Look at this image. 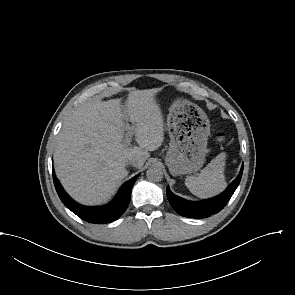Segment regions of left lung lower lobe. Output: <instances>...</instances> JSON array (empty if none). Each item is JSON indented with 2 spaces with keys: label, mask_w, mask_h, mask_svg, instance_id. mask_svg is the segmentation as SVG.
<instances>
[{
  "label": "left lung lower lobe",
  "mask_w": 295,
  "mask_h": 295,
  "mask_svg": "<svg viewBox=\"0 0 295 295\" xmlns=\"http://www.w3.org/2000/svg\"><path fill=\"white\" fill-rule=\"evenodd\" d=\"M243 173V164L237 178L220 195L202 201H187L173 194L167 187V198L174 210L184 217L206 218L221 211L238 187Z\"/></svg>",
  "instance_id": "1"
}]
</instances>
